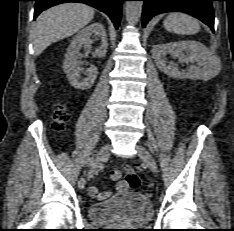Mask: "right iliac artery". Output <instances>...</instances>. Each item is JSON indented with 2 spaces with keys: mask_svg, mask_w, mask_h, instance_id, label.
<instances>
[{
  "mask_svg": "<svg viewBox=\"0 0 234 231\" xmlns=\"http://www.w3.org/2000/svg\"><path fill=\"white\" fill-rule=\"evenodd\" d=\"M90 159V161H92L93 160V158H89ZM98 167L99 166H94V165H92L91 166V168H90V170H89V172H88V179H90V178H92L95 174H97V172H98Z\"/></svg>",
  "mask_w": 234,
  "mask_h": 231,
  "instance_id": "obj_1",
  "label": "right iliac artery"
}]
</instances>
